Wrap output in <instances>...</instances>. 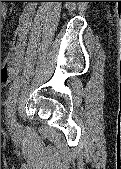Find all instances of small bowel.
<instances>
[{
	"label": "small bowel",
	"instance_id": "1",
	"mask_svg": "<svg viewBox=\"0 0 121 169\" xmlns=\"http://www.w3.org/2000/svg\"><path fill=\"white\" fill-rule=\"evenodd\" d=\"M6 1H1V15L3 18L7 16ZM35 7L28 3L25 5L22 14L18 18V25L15 28V42L12 45L11 52L3 60L1 66V81L8 82L17 76L23 69L26 59V50L28 46V35L32 26V17Z\"/></svg>",
	"mask_w": 121,
	"mask_h": 169
}]
</instances>
